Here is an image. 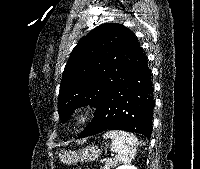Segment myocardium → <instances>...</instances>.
<instances>
[{
	"mask_svg": "<svg viewBox=\"0 0 200 169\" xmlns=\"http://www.w3.org/2000/svg\"><path fill=\"white\" fill-rule=\"evenodd\" d=\"M94 115V111L90 106H80L72 111L71 118L73 122L82 126L88 123Z\"/></svg>",
	"mask_w": 200,
	"mask_h": 169,
	"instance_id": "obj_1",
	"label": "myocardium"
}]
</instances>
